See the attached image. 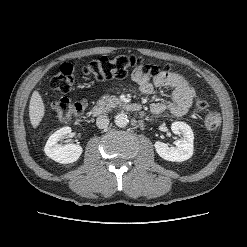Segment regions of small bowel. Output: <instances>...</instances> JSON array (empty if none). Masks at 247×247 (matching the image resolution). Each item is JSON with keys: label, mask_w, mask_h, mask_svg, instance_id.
Masks as SVG:
<instances>
[{"label": "small bowel", "mask_w": 247, "mask_h": 247, "mask_svg": "<svg viewBox=\"0 0 247 247\" xmlns=\"http://www.w3.org/2000/svg\"><path fill=\"white\" fill-rule=\"evenodd\" d=\"M132 79L138 84L143 94L153 93L155 87H168L172 90L169 101L154 102L150 106L151 112L160 114L169 111L174 115H184L190 108L194 97V90L189 81L181 74L163 71L152 80L140 71L132 72Z\"/></svg>", "instance_id": "small-bowel-1"}]
</instances>
